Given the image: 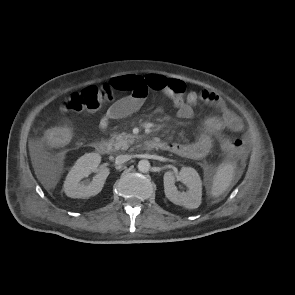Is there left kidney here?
Returning <instances> with one entry per match:
<instances>
[{"instance_id":"obj_1","label":"left kidney","mask_w":295,"mask_h":295,"mask_svg":"<svg viewBox=\"0 0 295 295\" xmlns=\"http://www.w3.org/2000/svg\"><path fill=\"white\" fill-rule=\"evenodd\" d=\"M182 181L188 188L186 192H179L175 181ZM165 196L174 204L187 209L198 208L202 198V182L194 168L182 167L178 174L167 171L163 177Z\"/></svg>"}]
</instances>
